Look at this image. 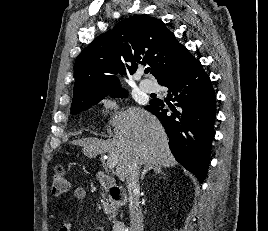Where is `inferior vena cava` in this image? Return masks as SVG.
Wrapping results in <instances>:
<instances>
[{
	"label": "inferior vena cava",
	"mask_w": 268,
	"mask_h": 231,
	"mask_svg": "<svg viewBox=\"0 0 268 231\" xmlns=\"http://www.w3.org/2000/svg\"><path fill=\"white\" fill-rule=\"evenodd\" d=\"M141 163L134 160L128 167L126 185L129 194L130 231H143V217L139 202V171Z\"/></svg>",
	"instance_id": "1"
}]
</instances>
